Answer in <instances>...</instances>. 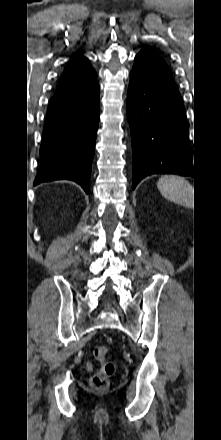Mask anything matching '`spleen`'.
Segmentation results:
<instances>
[{
	"instance_id": "spleen-1",
	"label": "spleen",
	"mask_w": 221,
	"mask_h": 440,
	"mask_svg": "<svg viewBox=\"0 0 221 440\" xmlns=\"http://www.w3.org/2000/svg\"><path fill=\"white\" fill-rule=\"evenodd\" d=\"M157 187L166 199L177 204L191 207L193 204V187L183 177L176 175L162 176Z\"/></svg>"
}]
</instances>
